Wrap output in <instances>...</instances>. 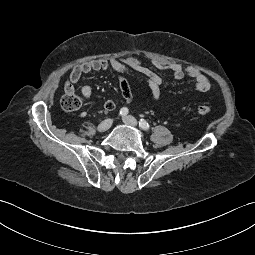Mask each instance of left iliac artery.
<instances>
[{"mask_svg":"<svg viewBox=\"0 0 255 255\" xmlns=\"http://www.w3.org/2000/svg\"><path fill=\"white\" fill-rule=\"evenodd\" d=\"M139 126L143 129V130H149L150 125L148 124V122H146L144 119H140L139 121Z\"/></svg>","mask_w":255,"mask_h":255,"instance_id":"obj_1","label":"left iliac artery"}]
</instances>
